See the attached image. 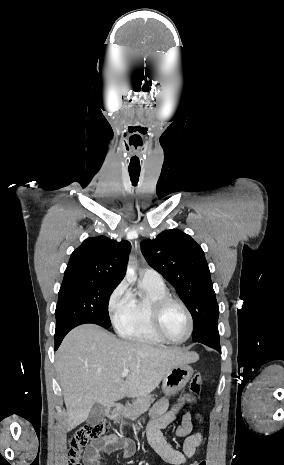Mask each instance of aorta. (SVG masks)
<instances>
[{"label": "aorta", "instance_id": "aorta-1", "mask_svg": "<svg viewBox=\"0 0 284 465\" xmlns=\"http://www.w3.org/2000/svg\"><path fill=\"white\" fill-rule=\"evenodd\" d=\"M127 275L129 276L134 275V269L130 266V264H128V267H127Z\"/></svg>", "mask_w": 284, "mask_h": 465}]
</instances>
